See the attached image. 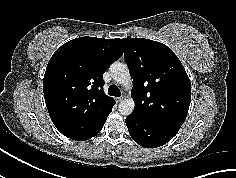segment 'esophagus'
<instances>
[{
	"mask_svg": "<svg viewBox=\"0 0 236 178\" xmlns=\"http://www.w3.org/2000/svg\"><path fill=\"white\" fill-rule=\"evenodd\" d=\"M123 100V97L116 98V102L119 103Z\"/></svg>",
	"mask_w": 236,
	"mask_h": 178,
	"instance_id": "1",
	"label": "esophagus"
}]
</instances>
